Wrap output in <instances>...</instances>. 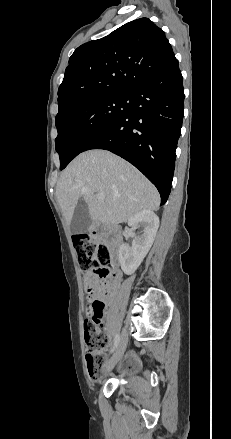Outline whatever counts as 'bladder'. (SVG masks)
Here are the masks:
<instances>
[{
  "mask_svg": "<svg viewBox=\"0 0 231 439\" xmlns=\"http://www.w3.org/2000/svg\"><path fill=\"white\" fill-rule=\"evenodd\" d=\"M140 371V362L137 358H132L127 361L126 365V374L129 376H133L138 374Z\"/></svg>",
  "mask_w": 231,
  "mask_h": 439,
  "instance_id": "31cf9c89",
  "label": "bladder"
}]
</instances>
